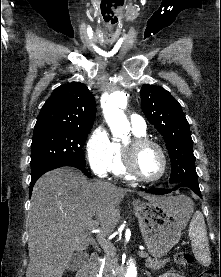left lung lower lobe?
<instances>
[{"instance_id":"0a47b994","label":"left lung lower lobe","mask_w":221,"mask_h":277,"mask_svg":"<svg viewBox=\"0 0 221 277\" xmlns=\"http://www.w3.org/2000/svg\"><path fill=\"white\" fill-rule=\"evenodd\" d=\"M180 187H188L201 197L199 184L185 183V182L174 184L171 189L153 188V189H144V191L147 193H151V194H167V193H170L171 191L176 190Z\"/></svg>"}]
</instances>
